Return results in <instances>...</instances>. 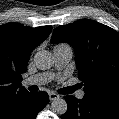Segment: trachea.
<instances>
[{"mask_svg":"<svg viewBox=\"0 0 119 119\" xmlns=\"http://www.w3.org/2000/svg\"><path fill=\"white\" fill-rule=\"evenodd\" d=\"M76 89H77V87H73V88H71L70 92H73Z\"/></svg>","mask_w":119,"mask_h":119,"instance_id":"1","label":"trachea"}]
</instances>
